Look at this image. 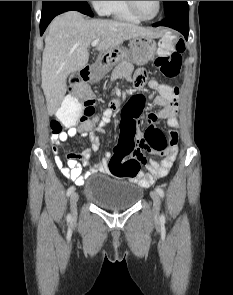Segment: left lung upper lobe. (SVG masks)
<instances>
[{
    "label": "left lung upper lobe",
    "mask_w": 233,
    "mask_h": 295,
    "mask_svg": "<svg viewBox=\"0 0 233 295\" xmlns=\"http://www.w3.org/2000/svg\"><path fill=\"white\" fill-rule=\"evenodd\" d=\"M163 3L166 16L188 7L187 1H163Z\"/></svg>",
    "instance_id": "left-lung-upper-lobe-1"
}]
</instances>
